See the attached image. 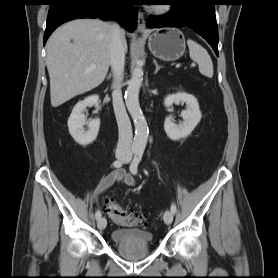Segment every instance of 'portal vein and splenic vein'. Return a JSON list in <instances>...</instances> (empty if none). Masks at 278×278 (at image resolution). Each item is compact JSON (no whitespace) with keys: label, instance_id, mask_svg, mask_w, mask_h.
Returning a JSON list of instances; mask_svg holds the SVG:
<instances>
[{"label":"portal vein and splenic vein","instance_id":"obj_1","mask_svg":"<svg viewBox=\"0 0 278 278\" xmlns=\"http://www.w3.org/2000/svg\"><path fill=\"white\" fill-rule=\"evenodd\" d=\"M192 66H194V65H192ZM88 69L89 70H94V69H96V66L95 65H91Z\"/></svg>","mask_w":278,"mask_h":278}]
</instances>
